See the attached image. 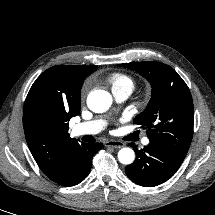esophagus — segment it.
<instances>
[{
  "mask_svg": "<svg viewBox=\"0 0 215 215\" xmlns=\"http://www.w3.org/2000/svg\"><path fill=\"white\" fill-rule=\"evenodd\" d=\"M105 146L119 149V148L124 147L125 144L121 141L109 140V141L105 142Z\"/></svg>",
  "mask_w": 215,
  "mask_h": 215,
  "instance_id": "esophagus-1",
  "label": "esophagus"
}]
</instances>
